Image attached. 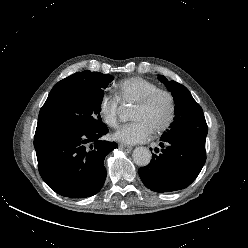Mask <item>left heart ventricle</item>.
<instances>
[{"mask_svg":"<svg viewBox=\"0 0 248 248\" xmlns=\"http://www.w3.org/2000/svg\"><path fill=\"white\" fill-rule=\"evenodd\" d=\"M169 113V101L166 96H158L148 107H134L132 120L145 122L153 131L166 120Z\"/></svg>","mask_w":248,"mask_h":248,"instance_id":"obj_1","label":"left heart ventricle"}]
</instances>
